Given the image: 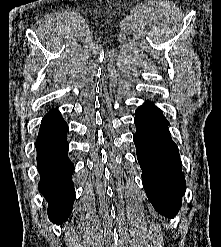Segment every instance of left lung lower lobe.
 <instances>
[{
    "label": "left lung lower lobe",
    "instance_id": "1",
    "mask_svg": "<svg viewBox=\"0 0 221 247\" xmlns=\"http://www.w3.org/2000/svg\"><path fill=\"white\" fill-rule=\"evenodd\" d=\"M134 122L133 140L145 192L158 213L173 217L180 209L186 184L179 151L168 130L169 122L148 101L136 110Z\"/></svg>",
    "mask_w": 221,
    "mask_h": 247
}]
</instances>
